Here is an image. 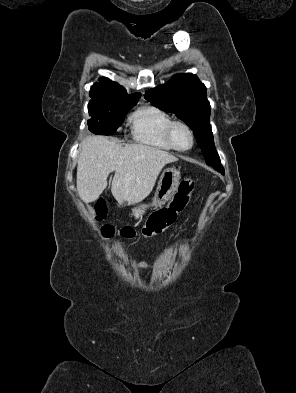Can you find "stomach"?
I'll return each mask as SVG.
<instances>
[{"mask_svg": "<svg viewBox=\"0 0 296 393\" xmlns=\"http://www.w3.org/2000/svg\"><path fill=\"white\" fill-rule=\"evenodd\" d=\"M180 172L175 168H166L158 181L157 189L151 204H140L133 208L135 218L141 219L149 207H160L176 193L180 183Z\"/></svg>", "mask_w": 296, "mask_h": 393, "instance_id": "0dacf381", "label": "stomach"}]
</instances>
